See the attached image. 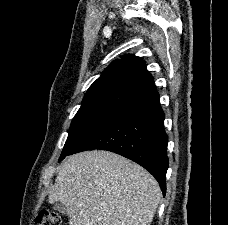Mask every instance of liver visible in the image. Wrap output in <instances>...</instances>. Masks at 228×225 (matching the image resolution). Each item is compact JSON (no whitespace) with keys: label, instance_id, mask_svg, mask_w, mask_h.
Wrapping results in <instances>:
<instances>
[{"label":"liver","instance_id":"6515ba94","mask_svg":"<svg viewBox=\"0 0 228 225\" xmlns=\"http://www.w3.org/2000/svg\"><path fill=\"white\" fill-rule=\"evenodd\" d=\"M160 199L150 173L109 151L67 157L48 197L65 205L69 225H151Z\"/></svg>","mask_w":228,"mask_h":225}]
</instances>
